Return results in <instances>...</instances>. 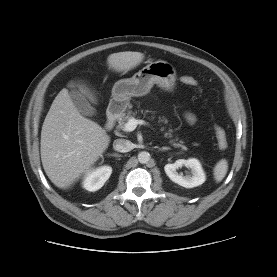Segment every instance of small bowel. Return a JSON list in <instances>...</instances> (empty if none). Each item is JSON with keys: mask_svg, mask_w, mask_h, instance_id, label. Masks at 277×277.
<instances>
[{"mask_svg": "<svg viewBox=\"0 0 277 277\" xmlns=\"http://www.w3.org/2000/svg\"><path fill=\"white\" fill-rule=\"evenodd\" d=\"M185 118H186L187 122L190 124H194L196 121V117L192 113H186Z\"/></svg>", "mask_w": 277, "mask_h": 277, "instance_id": "1", "label": "small bowel"}]
</instances>
